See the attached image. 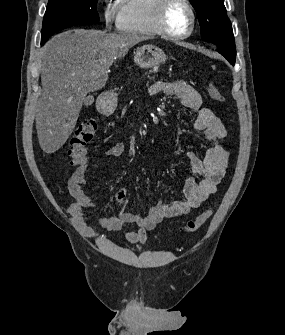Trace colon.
Wrapping results in <instances>:
<instances>
[{
  "mask_svg": "<svg viewBox=\"0 0 285 335\" xmlns=\"http://www.w3.org/2000/svg\"><path fill=\"white\" fill-rule=\"evenodd\" d=\"M206 90L209 96L216 101H223L224 97L218 89L211 83L206 82ZM98 130V124L95 120H85L76 129L72 139L69 157L71 164L82 165L86 160V145L90 143ZM212 215V210L208 209L200 213L195 218L187 221L183 225V230L186 232H195L204 225V223Z\"/></svg>",
  "mask_w": 285,
  "mask_h": 335,
  "instance_id": "colon-1",
  "label": "colon"
}]
</instances>
